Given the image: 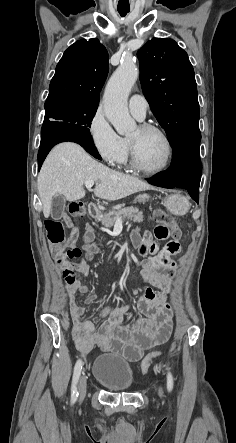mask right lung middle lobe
<instances>
[{
  "instance_id": "right-lung-middle-lobe-1",
  "label": "right lung middle lobe",
  "mask_w": 236,
  "mask_h": 443,
  "mask_svg": "<svg viewBox=\"0 0 236 443\" xmlns=\"http://www.w3.org/2000/svg\"><path fill=\"white\" fill-rule=\"evenodd\" d=\"M44 123L52 121L69 123L80 133L91 135L89 128L98 106L84 104L73 100H54L46 102Z\"/></svg>"
}]
</instances>
